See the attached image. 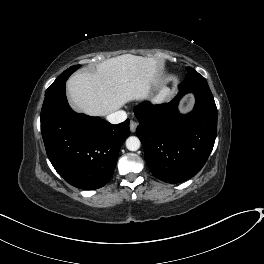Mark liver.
Wrapping results in <instances>:
<instances>
[{
    "label": "liver",
    "mask_w": 264,
    "mask_h": 264,
    "mask_svg": "<svg viewBox=\"0 0 264 264\" xmlns=\"http://www.w3.org/2000/svg\"><path fill=\"white\" fill-rule=\"evenodd\" d=\"M158 63L153 58L124 54L96 65L95 71L76 72L67 81V93L74 107L90 116L109 115L126 103L149 99L156 84ZM168 88L151 98L163 100Z\"/></svg>",
    "instance_id": "1"
}]
</instances>
